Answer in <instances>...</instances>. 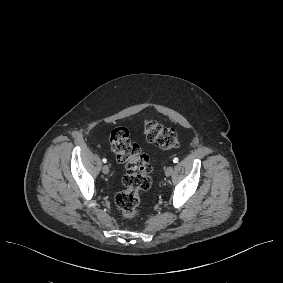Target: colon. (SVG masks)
<instances>
[{
	"instance_id": "1",
	"label": "colon",
	"mask_w": 283,
	"mask_h": 283,
	"mask_svg": "<svg viewBox=\"0 0 283 283\" xmlns=\"http://www.w3.org/2000/svg\"><path fill=\"white\" fill-rule=\"evenodd\" d=\"M143 131L146 139L162 149H174L179 146L176 131L160 124L156 119L144 122ZM110 146L117 160L125 164L126 173L122 183L124 189L115 196V204L123 217L135 219L140 214V192L151 187V164L148 155L141 151L138 144L130 139L129 131L125 127L112 130L109 138Z\"/></svg>"
}]
</instances>
